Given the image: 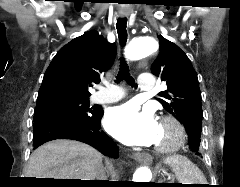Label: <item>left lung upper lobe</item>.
Instances as JSON below:
<instances>
[{"label": "left lung upper lobe", "instance_id": "obj_1", "mask_svg": "<svg viewBox=\"0 0 240 187\" xmlns=\"http://www.w3.org/2000/svg\"><path fill=\"white\" fill-rule=\"evenodd\" d=\"M160 39V53L151 66V72L167 84V90L158 101L185 127L188 135L196 140L190 148L198 152L200 147L202 106L198 77L187 55L174 43Z\"/></svg>", "mask_w": 240, "mask_h": 187}]
</instances>
